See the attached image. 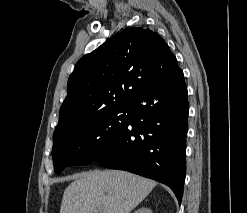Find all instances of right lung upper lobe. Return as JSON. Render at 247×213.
Returning <instances> with one entry per match:
<instances>
[{
  "mask_svg": "<svg viewBox=\"0 0 247 213\" xmlns=\"http://www.w3.org/2000/svg\"><path fill=\"white\" fill-rule=\"evenodd\" d=\"M177 68L176 57L157 33L132 27L116 34L75 65L53 138L129 103Z\"/></svg>",
  "mask_w": 247,
  "mask_h": 213,
  "instance_id": "1",
  "label": "right lung upper lobe"
}]
</instances>
